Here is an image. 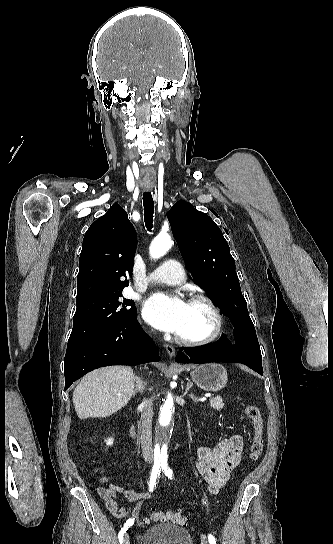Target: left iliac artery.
I'll return each instance as SVG.
<instances>
[{
	"instance_id": "obj_1",
	"label": "left iliac artery",
	"mask_w": 333,
	"mask_h": 544,
	"mask_svg": "<svg viewBox=\"0 0 333 544\" xmlns=\"http://www.w3.org/2000/svg\"><path fill=\"white\" fill-rule=\"evenodd\" d=\"M161 467H162V471L163 473L165 474L166 477H168L169 479H172L173 477V471L172 469L168 466L167 462H162L161 463ZM208 540H209V543L210 544H216V539L213 535L209 534L208 535Z\"/></svg>"
}]
</instances>
